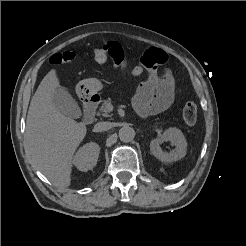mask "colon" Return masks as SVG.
<instances>
[{"mask_svg":"<svg viewBox=\"0 0 246 246\" xmlns=\"http://www.w3.org/2000/svg\"><path fill=\"white\" fill-rule=\"evenodd\" d=\"M85 57L93 60L96 63L104 64L109 61L120 63L123 60L124 54L120 47L116 45L106 44L102 48H97L88 51L84 54ZM78 54L75 51H64L51 56L50 63L66 64L76 60ZM198 108L195 102L188 101L182 109V118L187 126H194L197 121Z\"/></svg>","mask_w":246,"mask_h":246,"instance_id":"5ec220e1","label":"colon"}]
</instances>
